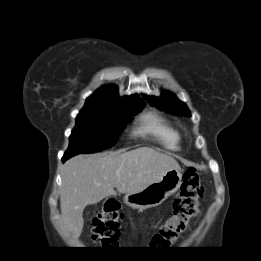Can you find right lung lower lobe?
Returning <instances> with one entry per match:
<instances>
[{"label":"right lung lower lobe","instance_id":"right-lung-lower-lobe-1","mask_svg":"<svg viewBox=\"0 0 261 261\" xmlns=\"http://www.w3.org/2000/svg\"><path fill=\"white\" fill-rule=\"evenodd\" d=\"M70 157L72 156H69V155H64L63 158H62V162H65L67 159H69Z\"/></svg>","mask_w":261,"mask_h":261}]
</instances>
